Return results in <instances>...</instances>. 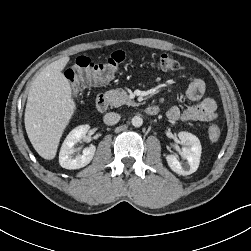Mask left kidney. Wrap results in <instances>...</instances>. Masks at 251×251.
Segmentation results:
<instances>
[{
    "instance_id": "left-kidney-1",
    "label": "left kidney",
    "mask_w": 251,
    "mask_h": 251,
    "mask_svg": "<svg viewBox=\"0 0 251 251\" xmlns=\"http://www.w3.org/2000/svg\"><path fill=\"white\" fill-rule=\"evenodd\" d=\"M179 140L185 147L182 148L181 157L184 160L180 162L174 154L167 155L166 160L172 171L179 175H190L194 173L200 163L201 143L200 140L193 134L188 132H179Z\"/></svg>"
}]
</instances>
